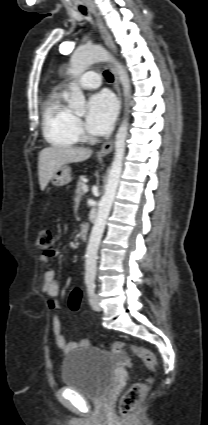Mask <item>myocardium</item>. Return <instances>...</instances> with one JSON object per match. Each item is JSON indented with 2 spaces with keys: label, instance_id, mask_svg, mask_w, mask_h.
Returning a JSON list of instances; mask_svg holds the SVG:
<instances>
[{
  "label": "myocardium",
  "instance_id": "obj_1",
  "mask_svg": "<svg viewBox=\"0 0 208 425\" xmlns=\"http://www.w3.org/2000/svg\"><path fill=\"white\" fill-rule=\"evenodd\" d=\"M83 137H84L85 139H87V138H88V136H86L85 134H83Z\"/></svg>",
  "mask_w": 208,
  "mask_h": 425
}]
</instances>
